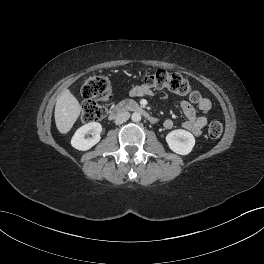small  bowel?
I'll list each match as a JSON object with an SVG mask.
<instances>
[{
	"label": "small bowel",
	"mask_w": 264,
	"mask_h": 264,
	"mask_svg": "<svg viewBox=\"0 0 264 264\" xmlns=\"http://www.w3.org/2000/svg\"><path fill=\"white\" fill-rule=\"evenodd\" d=\"M151 94V89L145 85H138L130 91V95L133 97L150 96ZM180 106L185 117V121L182 124L183 128L195 136L201 135L203 128L207 124V114L211 109L210 100L205 97L200 98L198 101L199 114H197L195 108L187 101H181ZM173 125L174 122L172 119H166L164 121V127L166 129H171Z\"/></svg>",
	"instance_id": "small-bowel-1"
}]
</instances>
